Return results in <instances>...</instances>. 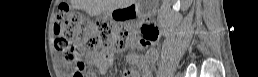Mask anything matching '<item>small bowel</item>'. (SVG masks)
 Listing matches in <instances>:
<instances>
[{
	"instance_id": "small-bowel-1",
	"label": "small bowel",
	"mask_w": 258,
	"mask_h": 77,
	"mask_svg": "<svg viewBox=\"0 0 258 77\" xmlns=\"http://www.w3.org/2000/svg\"><path fill=\"white\" fill-rule=\"evenodd\" d=\"M158 52L155 48H151L143 59L137 56H130L129 61L138 69H131L127 73L130 77H149L151 75L150 65L157 60ZM88 63L96 65L101 71L105 72L115 64V55L111 52L105 54H89L87 55Z\"/></svg>"
}]
</instances>
